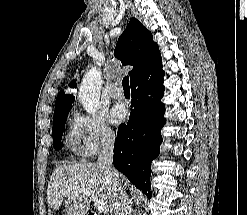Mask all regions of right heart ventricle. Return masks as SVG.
Here are the masks:
<instances>
[{"label": "right heart ventricle", "instance_id": "obj_1", "mask_svg": "<svg viewBox=\"0 0 247 215\" xmlns=\"http://www.w3.org/2000/svg\"><path fill=\"white\" fill-rule=\"evenodd\" d=\"M68 141H69V143L70 144H72V143H74L75 141H74V139L72 138V136L71 135H69V137H68Z\"/></svg>", "mask_w": 247, "mask_h": 215}]
</instances>
